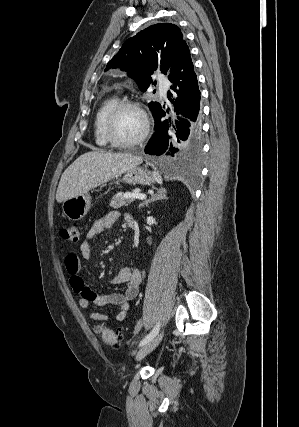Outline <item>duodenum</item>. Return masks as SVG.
I'll use <instances>...</instances> for the list:
<instances>
[{"label": "duodenum", "instance_id": "duodenum-1", "mask_svg": "<svg viewBox=\"0 0 299 427\" xmlns=\"http://www.w3.org/2000/svg\"><path fill=\"white\" fill-rule=\"evenodd\" d=\"M126 221H127L128 226L131 229H135L136 228V221H135L134 217L129 216Z\"/></svg>", "mask_w": 299, "mask_h": 427}]
</instances>
